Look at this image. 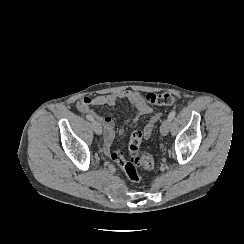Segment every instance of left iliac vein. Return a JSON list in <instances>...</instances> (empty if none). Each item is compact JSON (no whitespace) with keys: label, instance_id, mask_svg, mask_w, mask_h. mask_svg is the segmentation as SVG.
I'll use <instances>...</instances> for the list:
<instances>
[{"label":"left iliac vein","instance_id":"left-iliac-vein-1","mask_svg":"<svg viewBox=\"0 0 244 244\" xmlns=\"http://www.w3.org/2000/svg\"><path fill=\"white\" fill-rule=\"evenodd\" d=\"M170 125H171V121L169 119H165L162 122L161 127H160V133H161V135L165 136V135L168 134Z\"/></svg>","mask_w":244,"mask_h":244}]
</instances>
